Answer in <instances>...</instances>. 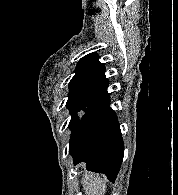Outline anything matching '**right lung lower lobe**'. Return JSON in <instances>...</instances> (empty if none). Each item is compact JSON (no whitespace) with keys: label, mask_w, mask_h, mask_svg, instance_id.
Instances as JSON below:
<instances>
[{"label":"right lung lower lobe","mask_w":178,"mask_h":195,"mask_svg":"<svg viewBox=\"0 0 178 195\" xmlns=\"http://www.w3.org/2000/svg\"><path fill=\"white\" fill-rule=\"evenodd\" d=\"M109 94L96 98L91 109L72 131L69 153L74 165L85 162L87 170L104 173L114 182L124 156V143Z\"/></svg>","instance_id":"right-lung-lower-lobe-1"}]
</instances>
